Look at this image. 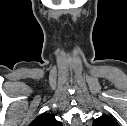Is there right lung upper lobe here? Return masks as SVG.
<instances>
[{"mask_svg":"<svg viewBox=\"0 0 127 126\" xmlns=\"http://www.w3.org/2000/svg\"><path fill=\"white\" fill-rule=\"evenodd\" d=\"M29 126H62V124L55 119L53 114L43 113L37 116Z\"/></svg>","mask_w":127,"mask_h":126,"instance_id":"1","label":"right lung upper lobe"}]
</instances>
